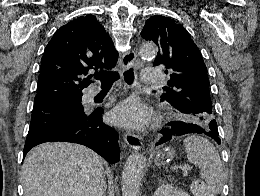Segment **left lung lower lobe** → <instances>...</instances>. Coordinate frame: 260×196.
Wrapping results in <instances>:
<instances>
[{"label":"left lung lower lobe","mask_w":260,"mask_h":196,"mask_svg":"<svg viewBox=\"0 0 260 196\" xmlns=\"http://www.w3.org/2000/svg\"><path fill=\"white\" fill-rule=\"evenodd\" d=\"M168 125L170 126V128L163 129L161 131L163 137L158 143H156V145L162 144L170 140L174 136H181L188 133H204L205 135L213 138L218 144H220L216 121L211 122L207 128H203L197 124L187 123L183 121L170 122L168 123Z\"/></svg>","instance_id":"1"}]
</instances>
